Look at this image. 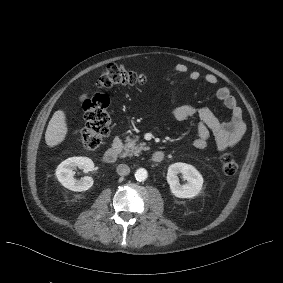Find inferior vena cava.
<instances>
[{
    "label": "inferior vena cava",
    "instance_id": "1",
    "mask_svg": "<svg viewBox=\"0 0 283 283\" xmlns=\"http://www.w3.org/2000/svg\"><path fill=\"white\" fill-rule=\"evenodd\" d=\"M130 172V169L128 167V165L126 164H120L118 167H117V173L121 176H125L127 175L128 173Z\"/></svg>",
    "mask_w": 283,
    "mask_h": 283
}]
</instances>
